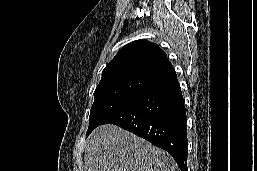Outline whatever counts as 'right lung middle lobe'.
<instances>
[{
  "label": "right lung middle lobe",
  "mask_w": 257,
  "mask_h": 171,
  "mask_svg": "<svg viewBox=\"0 0 257 171\" xmlns=\"http://www.w3.org/2000/svg\"><path fill=\"white\" fill-rule=\"evenodd\" d=\"M145 86L112 85L96 88L86 137L116 110L146 90Z\"/></svg>",
  "instance_id": "right-lung-middle-lobe-1"
}]
</instances>
